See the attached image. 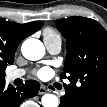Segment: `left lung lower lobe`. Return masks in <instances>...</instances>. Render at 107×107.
Listing matches in <instances>:
<instances>
[{
	"label": "left lung lower lobe",
	"instance_id": "0a47b994",
	"mask_svg": "<svg viewBox=\"0 0 107 107\" xmlns=\"http://www.w3.org/2000/svg\"><path fill=\"white\" fill-rule=\"evenodd\" d=\"M59 107H107V88L96 87L75 96L68 87L60 98Z\"/></svg>",
	"mask_w": 107,
	"mask_h": 107
}]
</instances>
